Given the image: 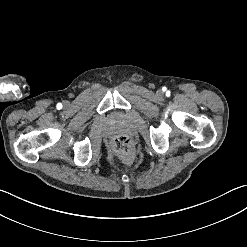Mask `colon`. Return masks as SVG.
Wrapping results in <instances>:
<instances>
[{
  "label": "colon",
  "instance_id": "1",
  "mask_svg": "<svg viewBox=\"0 0 247 247\" xmlns=\"http://www.w3.org/2000/svg\"><path fill=\"white\" fill-rule=\"evenodd\" d=\"M112 145L125 158L131 159L134 156V148L129 136L125 134L116 136Z\"/></svg>",
  "mask_w": 247,
  "mask_h": 247
}]
</instances>
